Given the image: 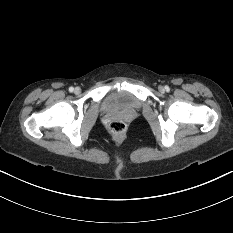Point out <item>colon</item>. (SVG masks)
Wrapping results in <instances>:
<instances>
[{"label":"colon","mask_w":233,"mask_h":233,"mask_svg":"<svg viewBox=\"0 0 233 233\" xmlns=\"http://www.w3.org/2000/svg\"><path fill=\"white\" fill-rule=\"evenodd\" d=\"M109 129L111 133L115 135H122L126 130V126L122 121L117 120V121H113L110 124Z\"/></svg>","instance_id":"5ec220e1"}]
</instances>
